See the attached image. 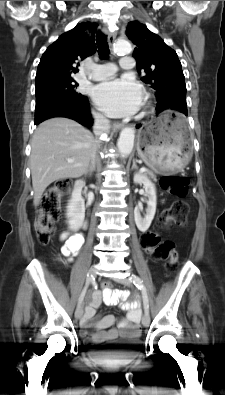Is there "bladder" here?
I'll use <instances>...</instances> for the list:
<instances>
[{"mask_svg": "<svg viewBox=\"0 0 225 395\" xmlns=\"http://www.w3.org/2000/svg\"><path fill=\"white\" fill-rule=\"evenodd\" d=\"M141 346L142 342L138 338L122 341L114 346L109 354L117 358H126L139 351Z\"/></svg>", "mask_w": 225, "mask_h": 395, "instance_id": "obj_1", "label": "bladder"}]
</instances>
